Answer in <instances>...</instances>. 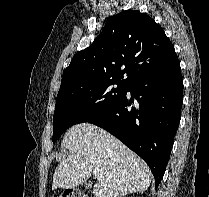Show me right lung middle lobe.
<instances>
[{
	"label": "right lung middle lobe",
	"instance_id": "obj_1",
	"mask_svg": "<svg viewBox=\"0 0 209 197\" xmlns=\"http://www.w3.org/2000/svg\"><path fill=\"white\" fill-rule=\"evenodd\" d=\"M117 85L112 87V85ZM129 84L118 80L72 84L59 90L53 116L55 142L70 126L87 122L122 99Z\"/></svg>",
	"mask_w": 209,
	"mask_h": 197
}]
</instances>
